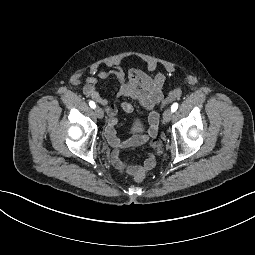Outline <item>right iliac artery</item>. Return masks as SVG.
<instances>
[{"label": "right iliac artery", "instance_id": "right-iliac-artery-1", "mask_svg": "<svg viewBox=\"0 0 255 255\" xmlns=\"http://www.w3.org/2000/svg\"><path fill=\"white\" fill-rule=\"evenodd\" d=\"M89 105H90V107L93 108V109L96 107V105H95V103H94L93 101H90V102H89Z\"/></svg>", "mask_w": 255, "mask_h": 255}]
</instances>
